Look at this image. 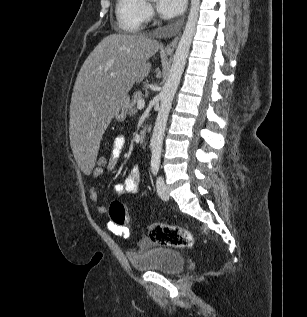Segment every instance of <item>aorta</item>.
Masks as SVG:
<instances>
[{
  "instance_id": "1",
  "label": "aorta",
  "mask_w": 307,
  "mask_h": 317,
  "mask_svg": "<svg viewBox=\"0 0 307 317\" xmlns=\"http://www.w3.org/2000/svg\"><path fill=\"white\" fill-rule=\"evenodd\" d=\"M200 9V0H191L190 12L185 29L176 48L169 76L160 93V109L157 115L151 138V166L158 167L161 161V152L168 115L173 98L178 89L181 76L195 34Z\"/></svg>"
}]
</instances>
